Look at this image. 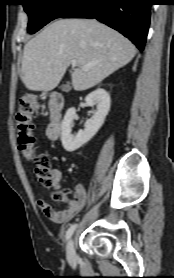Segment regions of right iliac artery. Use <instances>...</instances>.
<instances>
[{
    "label": "right iliac artery",
    "instance_id": "82829eb1",
    "mask_svg": "<svg viewBox=\"0 0 174 278\" xmlns=\"http://www.w3.org/2000/svg\"><path fill=\"white\" fill-rule=\"evenodd\" d=\"M76 227H77V224H73L68 228V230L66 232V236H65L66 240H68L71 237V235L75 231Z\"/></svg>",
    "mask_w": 174,
    "mask_h": 278
}]
</instances>
